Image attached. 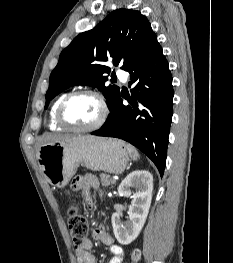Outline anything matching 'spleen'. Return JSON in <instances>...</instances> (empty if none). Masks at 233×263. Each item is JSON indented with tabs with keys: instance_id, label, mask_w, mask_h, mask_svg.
Returning a JSON list of instances; mask_svg holds the SVG:
<instances>
[{
	"instance_id": "spleen-1",
	"label": "spleen",
	"mask_w": 233,
	"mask_h": 263,
	"mask_svg": "<svg viewBox=\"0 0 233 263\" xmlns=\"http://www.w3.org/2000/svg\"><path fill=\"white\" fill-rule=\"evenodd\" d=\"M127 150L132 160L135 161L140 157L138 151L133 146L127 145Z\"/></svg>"
}]
</instances>
